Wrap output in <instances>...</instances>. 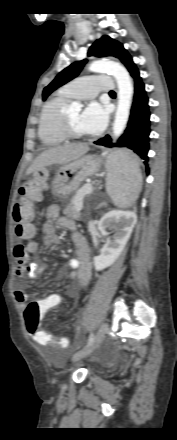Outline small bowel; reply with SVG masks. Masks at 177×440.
<instances>
[{"label":"small bowel","mask_w":177,"mask_h":440,"mask_svg":"<svg viewBox=\"0 0 177 440\" xmlns=\"http://www.w3.org/2000/svg\"><path fill=\"white\" fill-rule=\"evenodd\" d=\"M44 215L45 218L49 221L56 220L58 225H60L61 227H65L72 230L75 228V224L73 221L67 218L59 217L58 205H49L46 208ZM33 232H34V228H33ZM41 233H42L41 244L43 247H49L58 244L60 242V237L56 233V229L54 225L49 222L42 224ZM72 239L76 247L77 258L71 259L69 261V266L73 268V270L69 273L68 277L70 281L76 283L78 287L84 288L89 284L91 277L90 249L86 239L81 234L74 233L72 235ZM28 249L34 250V247L32 246L29 247ZM20 252H21V248L16 245L14 248V257L18 265L16 270V276L18 278H23L25 276L36 277L47 270L46 266L39 265L37 263H28L27 255L21 256ZM75 292L76 289L72 291V293ZM14 297L22 308L27 307L28 294L25 290L17 289L14 292ZM44 298H63V296L60 294H50ZM48 347L51 348V346Z\"/></svg>","instance_id":"c3829d8e"}]
</instances>
